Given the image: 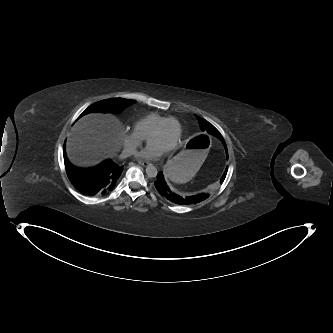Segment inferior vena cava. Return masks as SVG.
Wrapping results in <instances>:
<instances>
[{"label":"inferior vena cava","mask_w":333,"mask_h":333,"mask_svg":"<svg viewBox=\"0 0 333 333\" xmlns=\"http://www.w3.org/2000/svg\"><path fill=\"white\" fill-rule=\"evenodd\" d=\"M136 153H137L136 148H134V147H126V148L123 149V151H122L120 157H121L122 159H124V158H127V157H129V156H131V155H134V154H136Z\"/></svg>","instance_id":"602c4592"}]
</instances>
